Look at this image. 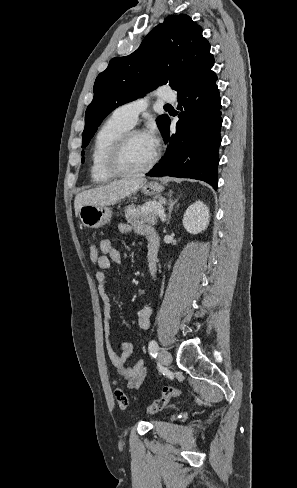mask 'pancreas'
I'll return each mask as SVG.
<instances>
[{
	"label": "pancreas",
	"mask_w": 297,
	"mask_h": 488,
	"mask_svg": "<svg viewBox=\"0 0 297 488\" xmlns=\"http://www.w3.org/2000/svg\"><path fill=\"white\" fill-rule=\"evenodd\" d=\"M157 204L156 201H149L147 204L138 206L135 208L134 205H130L125 209V218L127 223L131 225H138L143 223H148L155 225L157 223V211L147 210V205Z\"/></svg>",
	"instance_id": "cf45deb5"
}]
</instances>
